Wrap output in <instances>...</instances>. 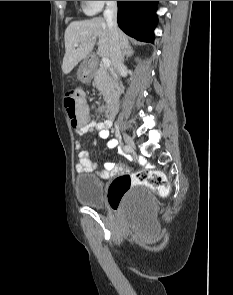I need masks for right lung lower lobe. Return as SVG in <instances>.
I'll use <instances>...</instances> for the list:
<instances>
[{"mask_svg":"<svg viewBox=\"0 0 233 295\" xmlns=\"http://www.w3.org/2000/svg\"><path fill=\"white\" fill-rule=\"evenodd\" d=\"M156 4L157 1H117L119 27L137 40L153 43Z\"/></svg>","mask_w":233,"mask_h":295,"instance_id":"right-lung-lower-lobe-1","label":"right lung lower lobe"}]
</instances>
